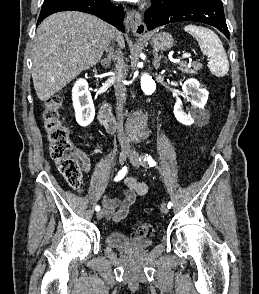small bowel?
<instances>
[{
  "instance_id": "1",
  "label": "small bowel",
  "mask_w": 259,
  "mask_h": 294,
  "mask_svg": "<svg viewBox=\"0 0 259 294\" xmlns=\"http://www.w3.org/2000/svg\"><path fill=\"white\" fill-rule=\"evenodd\" d=\"M83 169L87 172L90 168V160L84 153H79ZM125 189L120 196L105 198L102 205L106 209V216L115 222L125 219L131 206L134 204L137 196H144L148 193V186L133 177H127L123 180Z\"/></svg>"
}]
</instances>
